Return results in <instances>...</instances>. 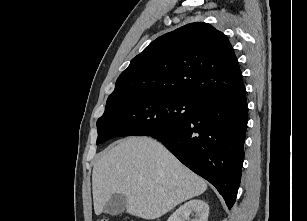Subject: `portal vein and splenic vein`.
Listing matches in <instances>:
<instances>
[{"mask_svg":"<svg viewBox=\"0 0 307 221\" xmlns=\"http://www.w3.org/2000/svg\"><path fill=\"white\" fill-rule=\"evenodd\" d=\"M142 178H143V176H142V175H140V176H139V179H142Z\"/></svg>","mask_w":307,"mask_h":221,"instance_id":"obj_1","label":"portal vein and splenic vein"}]
</instances>
